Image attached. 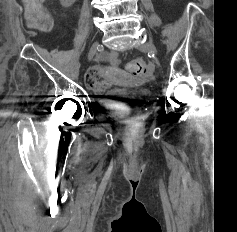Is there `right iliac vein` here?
<instances>
[{"label":"right iliac vein","mask_w":237,"mask_h":232,"mask_svg":"<svg viewBox=\"0 0 237 232\" xmlns=\"http://www.w3.org/2000/svg\"><path fill=\"white\" fill-rule=\"evenodd\" d=\"M99 47V43L98 42H94L91 47H90V50H89V53H88V60L90 61L94 55L96 54V51Z\"/></svg>","instance_id":"right-iliac-vein-1"}]
</instances>
